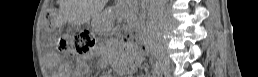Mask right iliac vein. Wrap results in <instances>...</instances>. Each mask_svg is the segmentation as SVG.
Returning a JSON list of instances; mask_svg holds the SVG:
<instances>
[{"mask_svg": "<svg viewBox=\"0 0 258 77\" xmlns=\"http://www.w3.org/2000/svg\"><path fill=\"white\" fill-rule=\"evenodd\" d=\"M159 59H160V62H161V69L162 71L164 72H170V60L169 58L167 57L166 54L162 53L159 55Z\"/></svg>", "mask_w": 258, "mask_h": 77, "instance_id": "right-iliac-vein-1", "label": "right iliac vein"}]
</instances>
